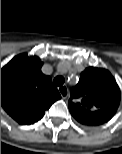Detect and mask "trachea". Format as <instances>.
Instances as JSON below:
<instances>
[{
  "label": "trachea",
  "instance_id": "1",
  "mask_svg": "<svg viewBox=\"0 0 122 154\" xmlns=\"http://www.w3.org/2000/svg\"><path fill=\"white\" fill-rule=\"evenodd\" d=\"M64 78L62 76H57L54 78L53 83L55 86H62L64 84Z\"/></svg>",
  "mask_w": 122,
  "mask_h": 154
}]
</instances>
